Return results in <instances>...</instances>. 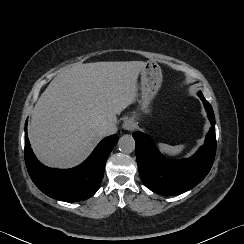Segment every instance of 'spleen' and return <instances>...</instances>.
Returning a JSON list of instances; mask_svg holds the SVG:
<instances>
[{"label": "spleen", "instance_id": "spleen-1", "mask_svg": "<svg viewBox=\"0 0 244 244\" xmlns=\"http://www.w3.org/2000/svg\"><path fill=\"white\" fill-rule=\"evenodd\" d=\"M158 148L164 155L174 157L182 153V151L185 149V145L181 144L171 146L165 143H158Z\"/></svg>", "mask_w": 244, "mask_h": 244}]
</instances>
